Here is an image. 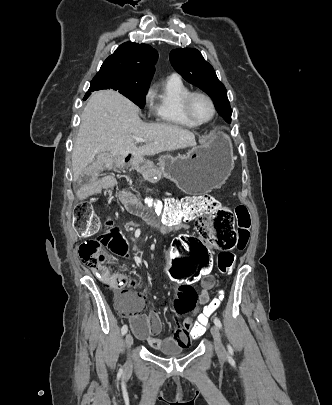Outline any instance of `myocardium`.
<instances>
[{
  "label": "myocardium",
  "instance_id": "f54148a6",
  "mask_svg": "<svg viewBox=\"0 0 332 405\" xmlns=\"http://www.w3.org/2000/svg\"><path fill=\"white\" fill-rule=\"evenodd\" d=\"M196 96L204 97L206 100H208V102L211 105L212 113H211V116L207 120L199 121L193 116V114L191 112V101ZM182 111L188 120H190L192 123L196 124L197 126H201V125L208 124L209 122H211L214 119L217 109H216V104H215L213 98L206 92L189 91L182 99Z\"/></svg>",
  "mask_w": 332,
  "mask_h": 405
}]
</instances>
